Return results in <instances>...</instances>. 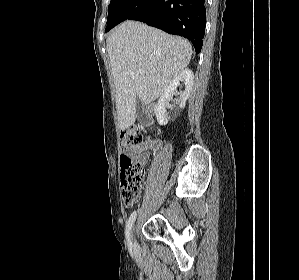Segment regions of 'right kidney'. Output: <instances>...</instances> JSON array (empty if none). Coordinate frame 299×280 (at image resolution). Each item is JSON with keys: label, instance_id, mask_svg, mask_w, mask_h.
Masks as SVG:
<instances>
[{"label": "right kidney", "instance_id": "obj_1", "mask_svg": "<svg viewBox=\"0 0 299 280\" xmlns=\"http://www.w3.org/2000/svg\"><path fill=\"white\" fill-rule=\"evenodd\" d=\"M193 79H194V75L192 70L186 68L182 72H180L169 84V86L165 89L155 109L156 118L160 125H166L169 121V117L167 116L166 113L167 100L177 93L176 88L180 84V82H183L185 85L184 91L179 93L180 108L185 107L186 100L189 98L190 93L192 91L193 82H194Z\"/></svg>", "mask_w": 299, "mask_h": 280}]
</instances>
